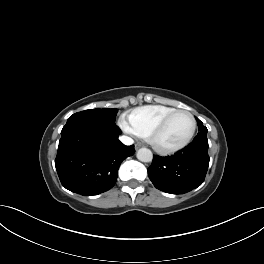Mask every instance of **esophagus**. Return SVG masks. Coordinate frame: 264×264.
<instances>
[{"instance_id":"34e87169","label":"esophagus","mask_w":264,"mask_h":264,"mask_svg":"<svg viewBox=\"0 0 264 264\" xmlns=\"http://www.w3.org/2000/svg\"><path fill=\"white\" fill-rule=\"evenodd\" d=\"M140 147H141L140 144H136V145H135V148H136V149H138V148H140Z\"/></svg>"}]
</instances>
